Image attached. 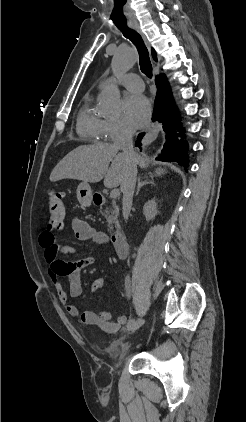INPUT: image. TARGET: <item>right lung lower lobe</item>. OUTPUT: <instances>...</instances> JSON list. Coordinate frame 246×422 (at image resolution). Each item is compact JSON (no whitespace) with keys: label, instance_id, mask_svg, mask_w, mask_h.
Listing matches in <instances>:
<instances>
[{"label":"right lung lower lobe","instance_id":"obj_1","mask_svg":"<svg viewBox=\"0 0 246 422\" xmlns=\"http://www.w3.org/2000/svg\"><path fill=\"white\" fill-rule=\"evenodd\" d=\"M155 84L157 95L152 120L161 122L165 132V143L156 159L176 162L187 170L189 167L188 144L184 141L185 135L181 129L180 115L172 98L168 81L164 75H159L155 78ZM143 136L144 133L138 135L135 143L137 147L141 146ZM178 137L181 139L179 140Z\"/></svg>","mask_w":246,"mask_h":422}]
</instances>
